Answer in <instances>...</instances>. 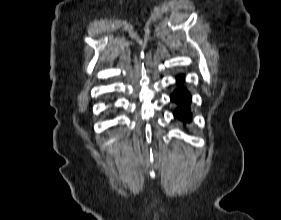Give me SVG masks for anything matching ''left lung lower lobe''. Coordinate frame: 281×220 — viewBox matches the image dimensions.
<instances>
[{
    "label": "left lung lower lobe",
    "instance_id": "1",
    "mask_svg": "<svg viewBox=\"0 0 281 220\" xmlns=\"http://www.w3.org/2000/svg\"><path fill=\"white\" fill-rule=\"evenodd\" d=\"M183 75L179 77L178 83L183 82ZM171 100L175 102L178 107L174 112V116L182 120L184 123L190 122L192 119L190 113L191 95L185 87L177 88L171 95Z\"/></svg>",
    "mask_w": 281,
    "mask_h": 220
}]
</instances>
